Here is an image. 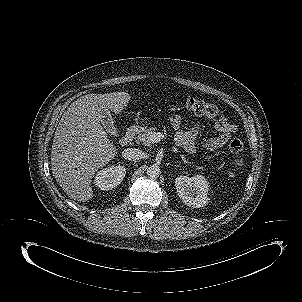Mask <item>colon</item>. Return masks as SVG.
I'll use <instances>...</instances> for the list:
<instances>
[{
  "mask_svg": "<svg viewBox=\"0 0 302 302\" xmlns=\"http://www.w3.org/2000/svg\"><path fill=\"white\" fill-rule=\"evenodd\" d=\"M187 106L198 115L216 117L221 114V109L216 104L208 103L202 100L191 98L187 101ZM230 152L235 157L236 165L243 163V143L238 139H233L229 145Z\"/></svg>",
  "mask_w": 302,
  "mask_h": 302,
  "instance_id": "obj_1",
  "label": "colon"
}]
</instances>
